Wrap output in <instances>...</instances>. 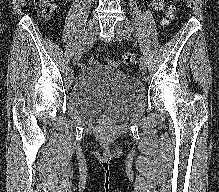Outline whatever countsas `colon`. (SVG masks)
I'll return each mask as SVG.
<instances>
[{
    "mask_svg": "<svg viewBox=\"0 0 219 192\" xmlns=\"http://www.w3.org/2000/svg\"><path fill=\"white\" fill-rule=\"evenodd\" d=\"M34 6L41 16L51 15L56 7L53 0H34ZM175 18V7L170 6L167 8L164 14L163 22L168 24ZM90 64H94V60L89 61ZM122 62L125 65H132L136 62V56L134 53L128 52L122 56ZM114 64V63H113Z\"/></svg>",
    "mask_w": 219,
    "mask_h": 192,
    "instance_id": "1",
    "label": "colon"
}]
</instances>
